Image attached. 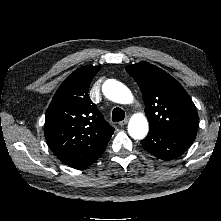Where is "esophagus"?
I'll return each mask as SVG.
<instances>
[{
	"mask_svg": "<svg viewBox=\"0 0 221 221\" xmlns=\"http://www.w3.org/2000/svg\"><path fill=\"white\" fill-rule=\"evenodd\" d=\"M128 123V118L122 120L119 122V126L123 127L124 125H126Z\"/></svg>",
	"mask_w": 221,
	"mask_h": 221,
	"instance_id": "34e87169",
	"label": "esophagus"
}]
</instances>
